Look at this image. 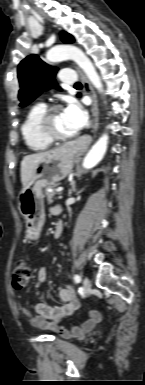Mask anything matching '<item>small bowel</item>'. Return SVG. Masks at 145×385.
Returning a JSON list of instances; mask_svg holds the SVG:
<instances>
[{
    "instance_id": "c3829d8e",
    "label": "small bowel",
    "mask_w": 145,
    "mask_h": 385,
    "mask_svg": "<svg viewBox=\"0 0 145 385\" xmlns=\"http://www.w3.org/2000/svg\"><path fill=\"white\" fill-rule=\"evenodd\" d=\"M59 209L54 208L53 213H58ZM47 279V270L41 267L36 275V287H39ZM59 298L63 302L61 305L50 306L45 303H36L24 306L22 312L28 317L30 324L40 329L50 330L58 333L63 338H80L86 332L94 329L102 319L99 311L90 310L86 319L80 325L65 326L62 322L72 317L80 308V300L75 296L74 291L69 286H62L58 291Z\"/></svg>"
}]
</instances>
